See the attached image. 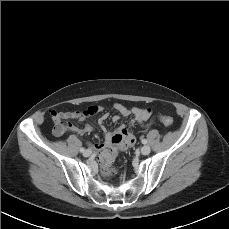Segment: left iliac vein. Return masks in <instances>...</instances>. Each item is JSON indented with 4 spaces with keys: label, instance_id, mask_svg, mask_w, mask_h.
<instances>
[{
    "label": "left iliac vein",
    "instance_id": "1",
    "mask_svg": "<svg viewBox=\"0 0 229 229\" xmlns=\"http://www.w3.org/2000/svg\"><path fill=\"white\" fill-rule=\"evenodd\" d=\"M140 151L143 155H148L151 152V148L148 145H144Z\"/></svg>",
    "mask_w": 229,
    "mask_h": 229
}]
</instances>
